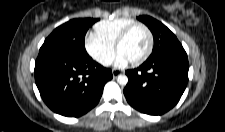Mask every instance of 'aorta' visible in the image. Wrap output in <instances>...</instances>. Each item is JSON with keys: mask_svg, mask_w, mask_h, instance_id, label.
Masks as SVG:
<instances>
[{"mask_svg": "<svg viewBox=\"0 0 225 132\" xmlns=\"http://www.w3.org/2000/svg\"><path fill=\"white\" fill-rule=\"evenodd\" d=\"M117 82L120 85L125 86L128 83V78L126 75H118Z\"/></svg>", "mask_w": 225, "mask_h": 132, "instance_id": "1", "label": "aorta"}]
</instances>
